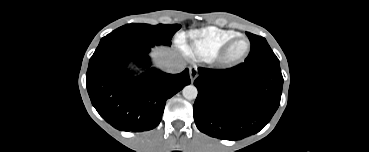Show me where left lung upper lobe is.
<instances>
[{
    "label": "left lung upper lobe",
    "mask_w": 369,
    "mask_h": 152,
    "mask_svg": "<svg viewBox=\"0 0 369 152\" xmlns=\"http://www.w3.org/2000/svg\"><path fill=\"white\" fill-rule=\"evenodd\" d=\"M250 42L251 51L245 62H279L265 38L246 32Z\"/></svg>",
    "instance_id": "5c2ea615"
}]
</instances>
